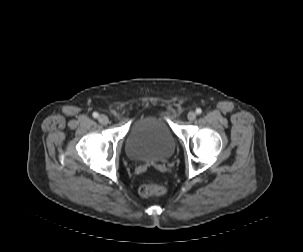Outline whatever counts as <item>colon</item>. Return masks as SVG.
Returning <instances> with one entry per match:
<instances>
[{
	"label": "colon",
	"mask_w": 303,
	"mask_h": 252,
	"mask_svg": "<svg viewBox=\"0 0 303 252\" xmlns=\"http://www.w3.org/2000/svg\"><path fill=\"white\" fill-rule=\"evenodd\" d=\"M166 192V187L161 184L146 183L140 187V194L144 197L162 196Z\"/></svg>",
	"instance_id": "colon-1"
}]
</instances>
